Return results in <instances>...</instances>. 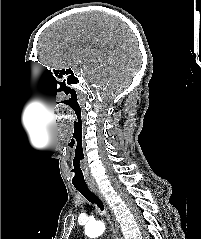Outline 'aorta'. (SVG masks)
I'll return each mask as SVG.
<instances>
[{
  "mask_svg": "<svg viewBox=\"0 0 201 239\" xmlns=\"http://www.w3.org/2000/svg\"><path fill=\"white\" fill-rule=\"evenodd\" d=\"M105 231V225L103 222L97 221V222H89L85 226V234L89 238H96L98 236H101Z\"/></svg>",
  "mask_w": 201,
  "mask_h": 239,
  "instance_id": "1",
  "label": "aorta"
}]
</instances>
